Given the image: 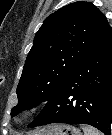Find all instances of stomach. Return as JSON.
I'll return each instance as SVG.
<instances>
[{"instance_id":"1","label":"stomach","mask_w":112,"mask_h":135,"mask_svg":"<svg viewBox=\"0 0 112 135\" xmlns=\"http://www.w3.org/2000/svg\"><path fill=\"white\" fill-rule=\"evenodd\" d=\"M37 135H81L80 131L70 125H54L49 126L46 129L42 130L41 134Z\"/></svg>"}]
</instances>
